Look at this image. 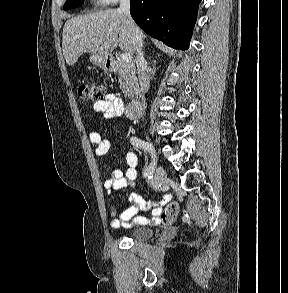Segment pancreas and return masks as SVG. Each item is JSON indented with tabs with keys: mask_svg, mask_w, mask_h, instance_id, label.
<instances>
[{
	"mask_svg": "<svg viewBox=\"0 0 288 293\" xmlns=\"http://www.w3.org/2000/svg\"><path fill=\"white\" fill-rule=\"evenodd\" d=\"M117 72L119 76L120 89L123 91L126 98H133L137 90L136 71L133 63L117 60Z\"/></svg>",
	"mask_w": 288,
	"mask_h": 293,
	"instance_id": "pancreas-1",
	"label": "pancreas"
}]
</instances>
